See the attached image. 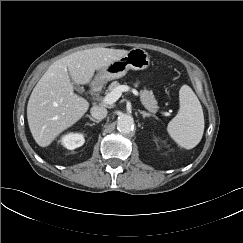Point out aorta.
<instances>
[{"mask_svg":"<svg viewBox=\"0 0 243 243\" xmlns=\"http://www.w3.org/2000/svg\"><path fill=\"white\" fill-rule=\"evenodd\" d=\"M134 126V119L129 114H122L118 117L117 120V129L119 132L127 134L129 133Z\"/></svg>","mask_w":243,"mask_h":243,"instance_id":"762f6f07","label":"aorta"}]
</instances>
